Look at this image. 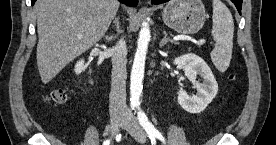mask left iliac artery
I'll list each match as a JSON object with an SVG mask.
<instances>
[{
    "label": "left iliac artery",
    "mask_w": 276,
    "mask_h": 145,
    "mask_svg": "<svg viewBox=\"0 0 276 145\" xmlns=\"http://www.w3.org/2000/svg\"><path fill=\"white\" fill-rule=\"evenodd\" d=\"M137 117L140 125L145 129L149 138H157L165 143L163 135L154 127V125L148 120L146 114L139 107L137 108Z\"/></svg>",
    "instance_id": "left-iliac-artery-1"
}]
</instances>
